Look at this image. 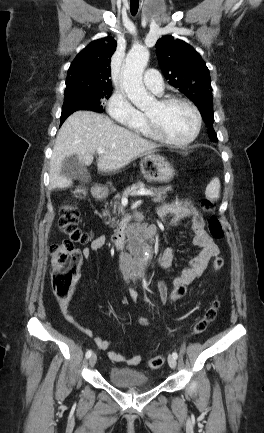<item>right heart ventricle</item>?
<instances>
[{
  "mask_svg": "<svg viewBox=\"0 0 264 433\" xmlns=\"http://www.w3.org/2000/svg\"><path fill=\"white\" fill-rule=\"evenodd\" d=\"M132 129L134 132L143 135L145 137H153V135L151 134L146 119L143 116L142 120L135 126H132Z\"/></svg>",
  "mask_w": 264,
  "mask_h": 433,
  "instance_id": "right-heart-ventricle-1",
  "label": "right heart ventricle"
}]
</instances>
